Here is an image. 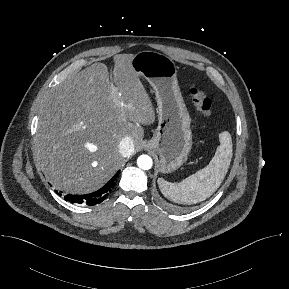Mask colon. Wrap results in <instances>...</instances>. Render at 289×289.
Returning <instances> with one entry per match:
<instances>
[{
  "label": "colon",
  "instance_id": "colon-1",
  "mask_svg": "<svg viewBox=\"0 0 289 289\" xmlns=\"http://www.w3.org/2000/svg\"><path fill=\"white\" fill-rule=\"evenodd\" d=\"M191 97L197 114L202 118H209L211 115V101L199 88L191 90Z\"/></svg>",
  "mask_w": 289,
  "mask_h": 289
}]
</instances>
